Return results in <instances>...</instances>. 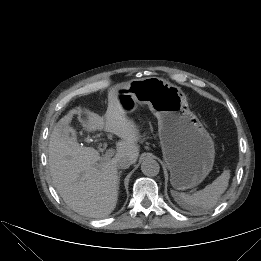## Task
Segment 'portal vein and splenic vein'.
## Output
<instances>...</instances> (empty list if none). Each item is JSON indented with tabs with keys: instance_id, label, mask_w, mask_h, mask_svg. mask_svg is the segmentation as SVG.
<instances>
[{
	"instance_id": "obj_1",
	"label": "portal vein and splenic vein",
	"mask_w": 261,
	"mask_h": 261,
	"mask_svg": "<svg viewBox=\"0 0 261 261\" xmlns=\"http://www.w3.org/2000/svg\"><path fill=\"white\" fill-rule=\"evenodd\" d=\"M115 151L113 149H109L105 152V159H109L114 155Z\"/></svg>"
}]
</instances>
